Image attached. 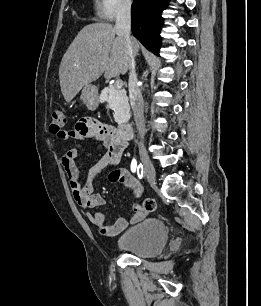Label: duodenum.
Here are the masks:
<instances>
[{
  "label": "duodenum",
  "mask_w": 261,
  "mask_h": 306,
  "mask_svg": "<svg viewBox=\"0 0 261 306\" xmlns=\"http://www.w3.org/2000/svg\"><path fill=\"white\" fill-rule=\"evenodd\" d=\"M118 133L124 139H131L134 134L133 125L130 121H123L118 126Z\"/></svg>",
  "instance_id": "obj_1"
}]
</instances>
